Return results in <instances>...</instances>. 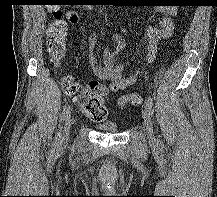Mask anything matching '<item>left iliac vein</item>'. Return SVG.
Segmentation results:
<instances>
[{
	"label": "left iliac vein",
	"mask_w": 217,
	"mask_h": 197,
	"mask_svg": "<svg viewBox=\"0 0 217 197\" xmlns=\"http://www.w3.org/2000/svg\"><path fill=\"white\" fill-rule=\"evenodd\" d=\"M142 117L144 119L148 141L150 144H155V136L153 132L152 120H151L150 113L146 108L142 110Z\"/></svg>",
	"instance_id": "1"
}]
</instances>
